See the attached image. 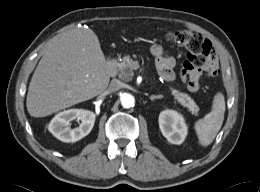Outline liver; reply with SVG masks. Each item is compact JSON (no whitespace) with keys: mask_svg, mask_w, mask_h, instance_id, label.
Listing matches in <instances>:
<instances>
[{"mask_svg":"<svg viewBox=\"0 0 260 192\" xmlns=\"http://www.w3.org/2000/svg\"><path fill=\"white\" fill-rule=\"evenodd\" d=\"M106 59L96 35L76 28L55 40L29 84L26 107L45 117L102 93L109 84Z\"/></svg>","mask_w":260,"mask_h":192,"instance_id":"obj_1","label":"liver"}]
</instances>
